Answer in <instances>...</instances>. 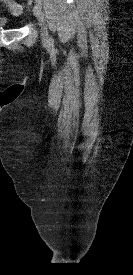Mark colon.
I'll return each mask as SVG.
<instances>
[{"label":"colon","instance_id":"colon-1","mask_svg":"<svg viewBox=\"0 0 133 275\" xmlns=\"http://www.w3.org/2000/svg\"><path fill=\"white\" fill-rule=\"evenodd\" d=\"M7 6L12 14H19L22 11V7L11 0H9Z\"/></svg>","mask_w":133,"mask_h":275}]
</instances>
